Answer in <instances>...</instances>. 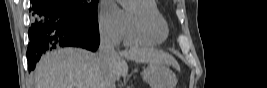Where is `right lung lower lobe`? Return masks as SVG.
I'll use <instances>...</instances> for the list:
<instances>
[{"mask_svg":"<svg viewBox=\"0 0 267 88\" xmlns=\"http://www.w3.org/2000/svg\"><path fill=\"white\" fill-rule=\"evenodd\" d=\"M34 22L29 29L27 60L30 69L40 55L53 48L75 46L96 51L99 42L98 23L69 8L60 0H32Z\"/></svg>","mask_w":267,"mask_h":88,"instance_id":"right-lung-lower-lobe-1","label":"right lung lower lobe"}]
</instances>
